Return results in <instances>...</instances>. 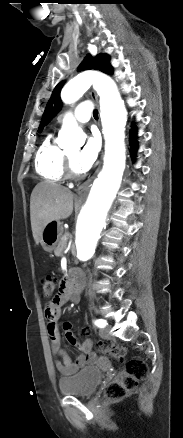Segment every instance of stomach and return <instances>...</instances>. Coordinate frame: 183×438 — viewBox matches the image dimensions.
<instances>
[{"instance_id":"stomach-1","label":"stomach","mask_w":183,"mask_h":438,"mask_svg":"<svg viewBox=\"0 0 183 438\" xmlns=\"http://www.w3.org/2000/svg\"><path fill=\"white\" fill-rule=\"evenodd\" d=\"M62 232L63 227L60 221H52L47 224L40 237V244L42 248L46 252H52L56 248Z\"/></svg>"}]
</instances>
